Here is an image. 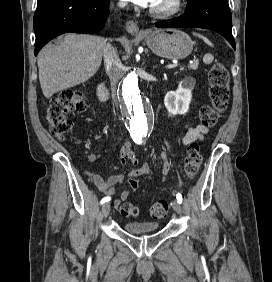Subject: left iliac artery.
Masks as SVG:
<instances>
[{"mask_svg":"<svg viewBox=\"0 0 272 282\" xmlns=\"http://www.w3.org/2000/svg\"><path fill=\"white\" fill-rule=\"evenodd\" d=\"M176 199H177V201L181 204L182 203V195L180 194V193H178L177 195H176Z\"/></svg>","mask_w":272,"mask_h":282,"instance_id":"left-iliac-artery-1","label":"left iliac artery"}]
</instances>
